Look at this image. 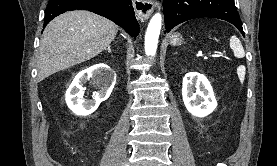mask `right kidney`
<instances>
[{
    "label": "right kidney",
    "instance_id": "ca27d5eb",
    "mask_svg": "<svg viewBox=\"0 0 277 166\" xmlns=\"http://www.w3.org/2000/svg\"><path fill=\"white\" fill-rule=\"evenodd\" d=\"M96 78L100 91L93 95V100H85L83 96V84L90 78ZM116 82L115 75L105 64L90 67L78 73L65 94L67 106L73 113L79 116H87L93 113L102 101L109 98Z\"/></svg>",
    "mask_w": 277,
    "mask_h": 166
}]
</instances>
